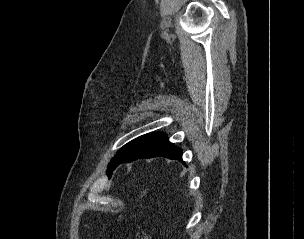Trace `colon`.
Wrapping results in <instances>:
<instances>
[{"label": "colon", "mask_w": 304, "mask_h": 239, "mask_svg": "<svg viewBox=\"0 0 304 239\" xmlns=\"http://www.w3.org/2000/svg\"><path fill=\"white\" fill-rule=\"evenodd\" d=\"M136 239H151L149 234H147L144 230H139Z\"/></svg>", "instance_id": "5ec220e1"}]
</instances>
